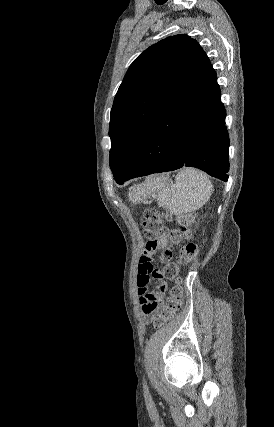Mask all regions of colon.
<instances>
[{"mask_svg":"<svg viewBox=\"0 0 274 427\" xmlns=\"http://www.w3.org/2000/svg\"><path fill=\"white\" fill-rule=\"evenodd\" d=\"M185 218H180L178 221H185ZM186 222L182 223L177 229L168 230L164 227L158 211L154 208L147 209L144 213V220L142 223L143 236H159L161 244L166 243L163 248H174L180 244L184 238V241L180 251L179 259L183 260V265L197 258L198 246L195 240L191 239L189 234L184 233ZM185 291L182 286L181 280L178 276L177 280H174V285L170 290L169 294V305L160 306L157 311H148L154 322L155 330H164L166 328V321L164 318H172L174 309L179 308L182 300L184 299Z\"/></svg>","mask_w":274,"mask_h":427,"instance_id":"obj_1","label":"colon"}]
</instances>
